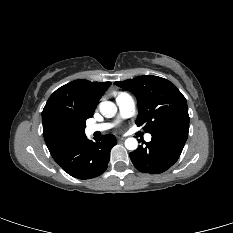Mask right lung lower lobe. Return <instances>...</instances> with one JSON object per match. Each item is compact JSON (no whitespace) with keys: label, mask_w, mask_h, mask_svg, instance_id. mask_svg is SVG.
<instances>
[{"label":"right lung lower lobe","mask_w":233,"mask_h":233,"mask_svg":"<svg viewBox=\"0 0 233 233\" xmlns=\"http://www.w3.org/2000/svg\"><path fill=\"white\" fill-rule=\"evenodd\" d=\"M115 144L116 138L112 134L103 135L95 141L85 137L54 160L75 178H94L107 169L110 150Z\"/></svg>","instance_id":"right-lung-lower-lobe-1"}]
</instances>
